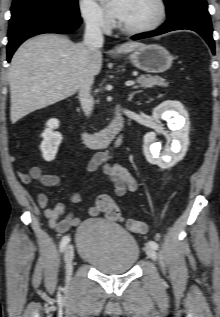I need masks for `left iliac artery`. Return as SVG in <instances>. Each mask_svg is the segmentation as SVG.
<instances>
[{
    "label": "left iliac artery",
    "instance_id": "obj_1",
    "mask_svg": "<svg viewBox=\"0 0 220 317\" xmlns=\"http://www.w3.org/2000/svg\"><path fill=\"white\" fill-rule=\"evenodd\" d=\"M148 244L151 246V247H153L155 250H157L158 249V244L155 242V241H149L148 242Z\"/></svg>",
    "mask_w": 220,
    "mask_h": 317
}]
</instances>
